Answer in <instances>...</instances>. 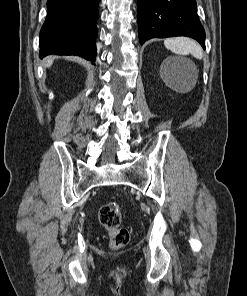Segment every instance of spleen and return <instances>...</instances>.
I'll return each instance as SVG.
<instances>
[{"label": "spleen", "mask_w": 247, "mask_h": 296, "mask_svg": "<svg viewBox=\"0 0 247 296\" xmlns=\"http://www.w3.org/2000/svg\"><path fill=\"white\" fill-rule=\"evenodd\" d=\"M167 49L178 55L191 54L197 59H202L203 52L200 45L187 37H173L164 40Z\"/></svg>", "instance_id": "1"}]
</instances>
